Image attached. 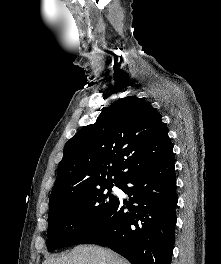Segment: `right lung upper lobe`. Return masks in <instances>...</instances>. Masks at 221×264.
<instances>
[{"label": "right lung upper lobe", "instance_id": "cb5924a9", "mask_svg": "<svg viewBox=\"0 0 221 264\" xmlns=\"http://www.w3.org/2000/svg\"><path fill=\"white\" fill-rule=\"evenodd\" d=\"M172 154L167 127L156 109L136 96L119 99L66 143L49 211L69 195L121 183Z\"/></svg>", "mask_w": 221, "mask_h": 264}]
</instances>
